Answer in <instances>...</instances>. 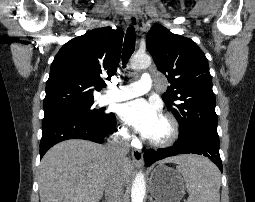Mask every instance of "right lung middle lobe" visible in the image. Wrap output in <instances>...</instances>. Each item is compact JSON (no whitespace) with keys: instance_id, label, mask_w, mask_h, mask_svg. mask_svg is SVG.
I'll list each match as a JSON object with an SVG mask.
<instances>
[{"instance_id":"obj_1","label":"right lung middle lobe","mask_w":255,"mask_h":202,"mask_svg":"<svg viewBox=\"0 0 255 202\" xmlns=\"http://www.w3.org/2000/svg\"><path fill=\"white\" fill-rule=\"evenodd\" d=\"M93 103L81 104L65 109L57 110L51 113L45 114L44 118L47 117H59V116H79L86 118L96 124H104L109 119L111 114H105L102 110H98L93 107Z\"/></svg>"}]
</instances>
